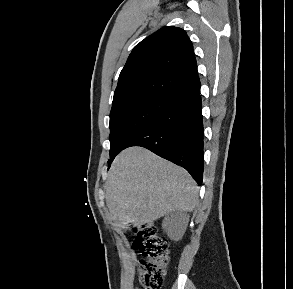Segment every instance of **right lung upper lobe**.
Returning a JSON list of instances; mask_svg holds the SVG:
<instances>
[{"label":"right lung upper lobe","mask_w":293,"mask_h":289,"mask_svg":"<svg viewBox=\"0 0 293 289\" xmlns=\"http://www.w3.org/2000/svg\"><path fill=\"white\" fill-rule=\"evenodd\" d=\"M199 93L193 45L183 29L169 26L134 47L120 73L113 104L134 96H159L176 105Z\"/></svg>","instance_id":"cb5924a9"}]
</instances>
